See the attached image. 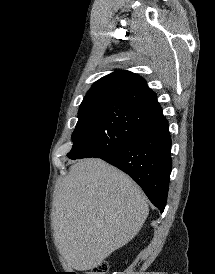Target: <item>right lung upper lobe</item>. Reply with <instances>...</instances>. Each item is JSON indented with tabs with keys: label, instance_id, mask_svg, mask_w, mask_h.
Returning <instances> with one entry per match:
<instances>
[{
	"label": "right lung upper lobe",
	"instance_id": "obj_1",
	"mask_svg": "<svg viewBox=\"0 0 215 274\" xmlns=\"http://www.w3.org/2000/svg\"><path fill=\"white\" fill-rule=\"evenodd\" d=\"M92 101H116L162 115L156 94L147 86L146 81L125 70L115 71L96 81L82 103Z\"/></svg>",
	"mask_w": 215,
	"mask_h": 274
}]
</instances>
